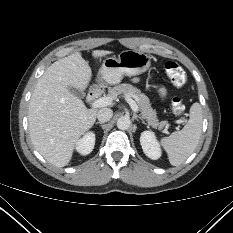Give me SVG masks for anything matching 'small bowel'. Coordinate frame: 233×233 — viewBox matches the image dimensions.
<instances>
[{"mask_svg": "<svg viewBox=\"0 0 233 233\" xmlns=\"http://www.w3.org/2000/svg\"><path fill=\"white\" fill-rule=\"evenodd\" d=\"M159 91H160L162 96H164L166 94V90L164 87H160Z\"/></svg>", "mask_w": 233, "mask_h": 233, "instance_id": "1", "label": "small bowel"}]
</instances>
